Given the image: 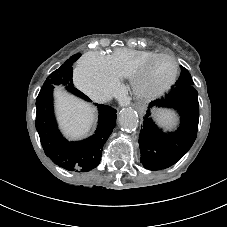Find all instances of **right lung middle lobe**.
<instances>
[{
	"mask_svg": "<svg viewBox=\"0 0 227 227\" xmlns=\"http://www.w3.org/2000/svg\"><path fill=\"white\" fill-rule=\"evenodd\" d=\"M81 54L71 56L59 69L52 72L44 82L43 87L54 85H65L66 87L73 86V63L80 57Z\"/></svg>",
	"mask_w": 227,
	"mask_h": 227,
	"instance_id": "1",
	"label": "right lung middle lobe"
}]
</instances>
